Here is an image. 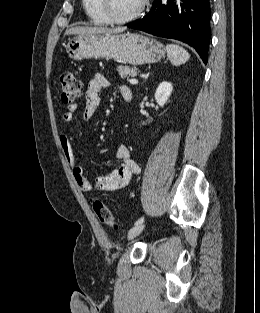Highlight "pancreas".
I'll list each match as a JSON object with an SVG mask.
<instances>
[{"mask_svg":"<svg viewBox=\"0 0 260 313\" xmlns=\"http://www.w3.org/2000/svg\"><path fill=\"white\" fill-rule=\"evenodd\" d=\"M117 71L122 78H126L128 76L135 77L138 74V69L136 67H128V66H118Z\"/></svg>","mask_w":260,"mask_h":313,"instance_id":"1","label":"pancreas"}]
</instances>
